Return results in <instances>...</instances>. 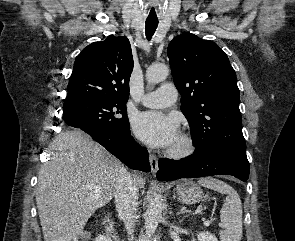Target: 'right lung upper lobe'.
Here are the masks:
<instances>
[{
  "label": "right lung upper lobe",
  "instance_id": "cb5924a9",
  "mask_svg": "<svg viewBox=\"0 0 295 241\" xmlns=\"http://www.w3.org/2000/svg\"><path fill=\"white\" fill-rule=\"evenodd\" d=\"M133 57L129 40L110 35L76 57L63 109L89 102H125Z\"/></svg>",
  "mask_w": 295,
  "mask_h": 241
}]
</instances>
